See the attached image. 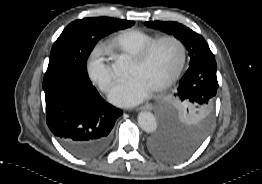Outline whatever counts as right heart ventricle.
I'll list each match as a JSON object with an SVG mask.
<instances>
[{"mask_svg":"<svg viewBox=\"0 0 262 184\" xmlns=\"http://www.w3.org/2000/svg\"><path fill=\"white\" fill-rule=\"evenodd\" d=\"M157 38V35L139 29H127L114 36L110 44L117 57L133 58L140 50Z\"/></svg>","mask_w":262,"mask_h":184,"instance_id":"obj_1","label":"right heart ventricle"}]
</instances>
